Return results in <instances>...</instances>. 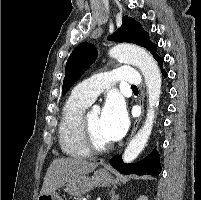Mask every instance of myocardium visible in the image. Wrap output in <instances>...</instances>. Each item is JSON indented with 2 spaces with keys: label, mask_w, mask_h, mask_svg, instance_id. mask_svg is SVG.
<instances>
[{
  "label": "myocardium",
  "mask_w": 201,
  "mask_h": 200,
  "mask_svg": "<svg viewBox=\"0 0 201 200\" xmlns=\"http://www.w3.org/2000/svg\"><path fill=\"white\" fill-rule=\"evenodd\" d=\"M80 139L83 147L89 153H104L111 149L110 143L100 145L94 141L87 123V115L85 114L80 119Z\"/></svg>",
  "instance_id": "f54148a6"
}]
</instances>
